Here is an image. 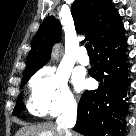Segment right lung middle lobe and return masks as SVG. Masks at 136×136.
I'll use <instances>...</instances> for the list:
<instances>
[{
  "instance_id": "1",
  "label": "right lung middle lobe",
  "mask_w": 136,
  "mask_h": 136,
  "mask_svg": "<svg viewBox=\"0 0 136 136\" xmlns=\"http://www.w3.org/2000/svg\"><path fill=\"white\" fill-rule=\"evenodd\" d=\"M31 76H32V75L27 76V77H25V78L22 79L21 87H23V86L26 84V82L28 81V79H29ZM20 112H21V95H20L19 98H18L17 104H16V106H15V108H14V111H13V115H17V114H19Z\"/></svg>"
}]
</instances>
